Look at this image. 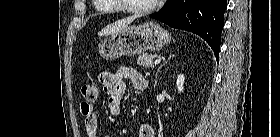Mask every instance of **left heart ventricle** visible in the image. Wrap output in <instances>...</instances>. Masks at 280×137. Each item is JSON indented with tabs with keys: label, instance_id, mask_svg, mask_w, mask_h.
<instances>
[{
	"label": "left heart ventricle",
	"instance_id": "obj_1",
	"mask_svg": "<svg viewBox=\"0 0 280 137\" xmlns=\"http://www.w3.org/2000/svg\"><path fill=\"white\" fill-rule=\"evenodd\" d=\"M154 2L155 0H127V5L134 8H145L152 5Z\"/></svg>",
	"mask_w": 280,
	"mask_h": 137
}]
</instances>
